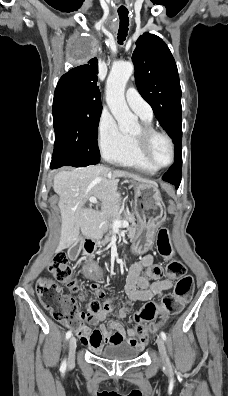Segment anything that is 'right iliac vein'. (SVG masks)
<instances>
[{
  "instance_id": "obj_1",
  "label": "right iliac vein",
  "mask_w": 228,
  "mask_h": 396,
  "mask_svg": "<svg viewBox=\"0 0 228 396\" xmlns=\"http://www.w3.org/2000/svg\"><path fill=\"white\" fill-rule=\"evenodd\" d=\"M76 346H77L76 338L72 336L69 340V356H68L69 365L74 362Z\"/></svg>"
}]
</instances>
